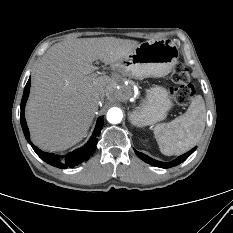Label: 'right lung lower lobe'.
Segmentation results:
<instances>
[{"instance_id": "right-lung-lower-lobe-1", "label": "right lung lower lobe", "mask_w": 233, "mask_h": 233, "mask_svg": "<svg viewBox=\"0 0 233 233\" xmlns=\"http://www.w3.org/2000/svg\"><path fill=\"white\" fill-rule=\"evenodd\" d=\"M30 80H28L25 89H24V93H23V97H22V101H21V115H20V121H21V126L25 135V138L27 139V141L29 142V144L32 146L33 150L36 152V154L46 163L54 166V167H58V168H67V167H74L78 164H80L83 161H87L88 158L90 157V155H92L95 152L96 149V145L98 142L97 137L99 136L101 129L103 127V117H100L97 121L96 127L94 129V133L93 136L90 138V140L88 141L87 144H85L84 147L77 149L75 151H73L72 153H69L66 157H65V161L66 163H60L58 156H55L54 154H48L46 152L41 151L40 149H38L37 147H35L32 142L29 140V130L26 124V120H25V115H24V108H25V104L26 101L28 99L29 96V91H30Z\"/></svg>"}]
</instances>
